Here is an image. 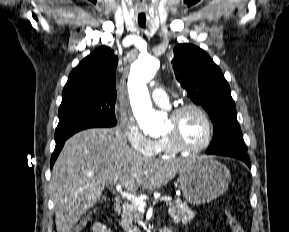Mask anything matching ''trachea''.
<instances>
[{
    "instance_id": "3493384b",
    "label": "trachea",
    "mask_w": 289,
    "mask_h": 232,
    "mask_svg": "<svg viewBox=\"0 0 289 232\" xmlns=\"http://www.w3.org/2000/svg\"><path fill=\"white\" fill-rule=\"evenodd\" d=\"M141 27H144L145 26V24H139Z\"/></svg>"
}]
</instances>
